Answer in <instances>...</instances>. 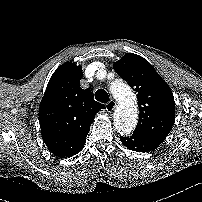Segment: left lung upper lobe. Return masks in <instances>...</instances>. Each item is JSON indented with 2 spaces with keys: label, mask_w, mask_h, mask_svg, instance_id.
Wrapping results in <instances>:
<instances>
[{
  "label": "left lung upper lobe",
  "mask_w": 202,
  "mask_h": 202,
  "mask_svg": "<svg viewBox=\"0 0 202 202\" xmlns=\"http://www.w3.org/2000/svg\"><path fill=\"white\" fill-rule=\"evenodd\" d=\"M117 74L137 92L139 121L133 134L166 139L175 121V103L168 84L144 58L125 54L114 63Z\"/></svg>",
  "instance_id": "1"
}]
</instances>
